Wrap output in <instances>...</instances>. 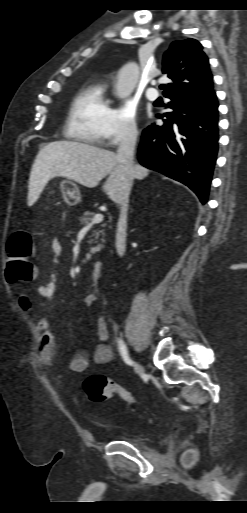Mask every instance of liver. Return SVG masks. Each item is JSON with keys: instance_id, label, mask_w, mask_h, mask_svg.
<instances>
[{"instance_id": "6515ba94", "label": "liver", "mask_w": 247, "mask_h": 513, "mask_svg": "<svg viewBox=\"0 0 247 513\" xmlns=\"http://www.w3.org/2000/svg\"><path fill=\"white\" fill-rule=\"evenodd\" d=\"M149 170L136 165L133 175H128L117 155L109 150L73 141H55L44 146L32 166L28 204L37 200L46 183L56 176L94 188L108 175L102 189L116 202L124 191L131 189L133 180L143 179Z\"/></svg>"}]
</instances>
